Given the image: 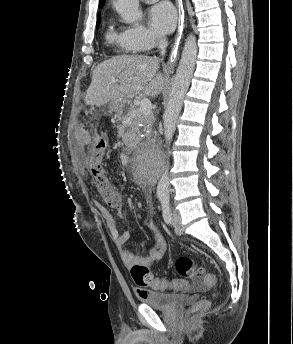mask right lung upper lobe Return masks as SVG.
I'll list each match as a JSON object with an SVG mask.
<instances>
[{"label":"right lung upper lobe","mask_w":293,"mask_h":344,"mask_svg":"<svg viewBox=\"0 0 293 344\" xmlns=\"http://www.w3.org/2000/svg\"><path fill=\"white\" fill-rule=\"evenodd\" d=\"M104 3H105V0H100V2H99V6H103L104 5ZM100 18V15H98V19Z\"/></svg>","instance_id":"cb5924a9"}]
</instances>
